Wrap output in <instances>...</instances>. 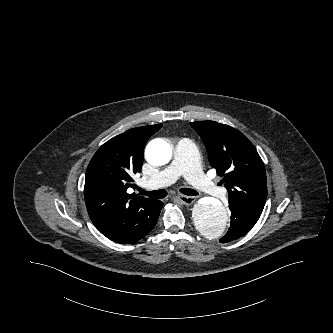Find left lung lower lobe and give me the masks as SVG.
<instances>
[{"label": "left lung lower lobe", "instance_id": "left-lung-lower-lobe-1", "mask_svg": "<svg viewBox=\"0 0 333 333\" xmlns=\"http://www.w3.org/2000/svg\"><path fill=\"white\" fill-rule=\"evenodd\" d=\"M231 211L230 228L220 242H230L248 233L258 221L260 215L247 212L235 206H229Z\"/></svg>", "mask_w": 333, "mask_h": 333}]
</instances>
